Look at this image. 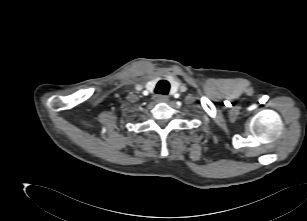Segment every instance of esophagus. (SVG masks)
I'll return each mask as SVG.
<instances>
[{"label": "esophagus", "instance_id": "1", "mask_svg": "<svg viewBox=\"0 0 307 221\" xmlns=\"http://www.w3.org/2000/svg\"><path fill=\"white\" fill-rule=\"evenodd\" d=\"M155 100L157 102H168L169 101V97L165 96V95H157Z\"/></svg>", "mask_w": 307, "mask_h": 221}]
</instances>
